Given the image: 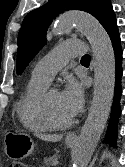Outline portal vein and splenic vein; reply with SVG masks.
Returning a JSON list of instances; mask_svg holds the SVG:
<instances>
[{
    "label": "portal vein and splenic vein",
    "mask_w": 125,
    "mask_h": 167,
    "mask_svg": "<svg viewBox=\"0 0 125 167\" xmlns=\"http://www.w3.org/2000/svg\"><path fill=\"white\" fill-rule=\"evenodd\" d=\"M59 164V161L58 160H55L53 163H52V166H57Z\"/></svg>",
    "instance_id": "obj_1"
}]
</instances>
